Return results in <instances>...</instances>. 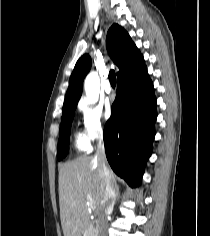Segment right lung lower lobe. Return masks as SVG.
I'll use <instances>...</instances> for the list:
<instances>
[{"label": "right lung lower lobe", "instance_id": "1", "mask_svg": "<svg viewBox=\"0 0 210 236\" xmlns=\"http://www.w3.org/2000/svg\"><path fill=\"white\" fill-rule=\"evenodd\" d=\"M156 118L153 83L143 64L117 79L116 99L104 128L107 160L131 186L140 184L151 155Z\"/></svg>", "mask_w": 210, "mask_h": 236}]
</instances>
